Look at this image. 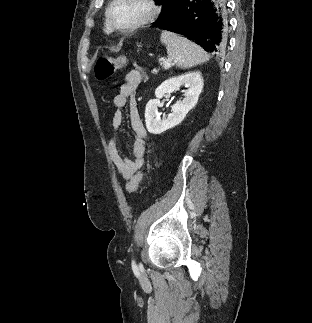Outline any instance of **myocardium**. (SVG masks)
Instances as JSON below:
<instances>
[{
    "mask_svg": "<svg viewBox=\"0 0 312 323\" xmlns=\"http://www.w3.org/2000/svg\"><path fill=\"white\" fill-rule=\"evenodd\" d=\"M156 0H113L109 2L108 10L104 11V16L111 25L112 31H140L143 25H148L149 21H158L161 15V3ZM148 6V10L140 12L138 18L132 20H120L121 16L115 13H129V6ZM135 11V8H132Z\"/></svg>",
    "mask_w": 312,
    "mask_h": 323,
    "instance_id": "1",
    "label": "myocardium"
}]
</instances>
